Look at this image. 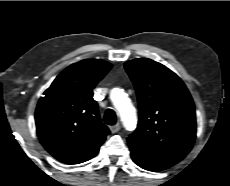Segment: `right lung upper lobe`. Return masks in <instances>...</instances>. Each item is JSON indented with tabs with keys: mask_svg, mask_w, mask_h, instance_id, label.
<instances>
[{
	"mask_svg": "<svg viewBox=\"0 0 230 186\" xmlns=\"http://www.w3.org/2000/svg\"><path fill=\"white\" fill-rule=\"evenodd\" d=\"M111 67L97 59L74 63L40 98L35 112L37 135L57 160L66 164L89 160L110 133L99 118L92 90Z\"/></svg>",
	"mask_w": 230,
	"mask_h": 186,
	"instance_id": "cb5924a9",
	"label": "right lung upper lobe"
}]
</instances>
